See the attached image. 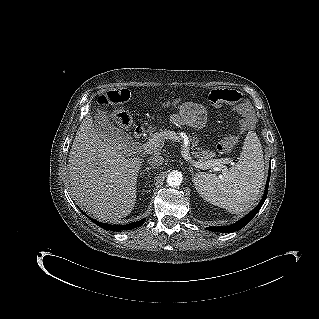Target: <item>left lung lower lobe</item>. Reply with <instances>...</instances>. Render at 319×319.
Segmentation results:
<instances>
[{"mask_svg": "<svg viewBox=\"0 0 319 319\" xmlns=\"http://www.w3.org/2000/svg\"><path fill=\"white\" fill-rule=\"evenodd\" d=\"M270 172H271V169H269V175H268V179L266 182V188L264 191V195H263L260 203L257 205V207L254 210H252L244 218H242L240 221L236 222L233 225L225 226V227H219V226L218 227H215V226L214 227H207V229H209L210 231H213V232L229 233V232H234V231L240 230L246 224H248L250 222V220L258 213V211L262 207V205L267 197V191H268L269 180H270Z\"/></svg>", "mask_w": 319, "mask_h": 319, "instance_id": "left-lung-lower-lobe-1", "label": "left lung lower lobe"}]
</instances>
